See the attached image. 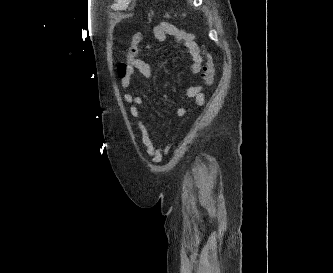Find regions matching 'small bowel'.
Instances as JSON below:
<instances>
[{
    "mask_svg": "<svg viewBox=\"0 0 333 273\" xmlns=\"http://www.w3.org/2000/svg\"><path fill=\"white\" fill-rule=\"evenodd\" d=\"M155 38L160 42H165L167 37H171L173 43L184 49L185 53L190 58L189 69L192 74L197 75L201 72L203 58L199 52L198 46L195 42V35L188 33L182 28L175 26L169 22H161L154 29ZM151 44H140L135 53H131L128 49L127 55H134V62H127L121 71L120 85L123 91V99L129 104V112L135 121L136 127L141 135L142 143L145 147L147 156H149L154 163H158L162 159V151L158 149L149 136L147 127L140 117L139 108L142 100L139 96L134 95L131 91L132 76L135 71L139 72L144 78H151V66L139 57V54L144 49H150ZM187 97L201 104L203 102L202 86L195 85L187 89ZM184 110L180 109L179 114H183Z\"/></svg>",
    "mask_w": 333,
    "mask_h": 273,
    "instance_id": "c3829d8e",
    "label": "small bowel"
}]
</instances>
